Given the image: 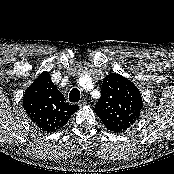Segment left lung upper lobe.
Returning <instances> with one entry per match:
<instances>
[{
    "label": "left lung upper lobe",
    "mask_w": 174,
    "mask_h": 174,
    "mask_svg": "<svg viewBox=\"0 0 174 174\" xmlns=\"http://www.w3.org/2000/svg\"><path fill=\"white\" fill-rule=\"evenodd\" d=\"M142 105L139 89L120 74L110 73L103 79L95 113L107 129L122 133L138 120Z\"/></svg>",
    "instance_id": "obj_1"
}]
</instances>
